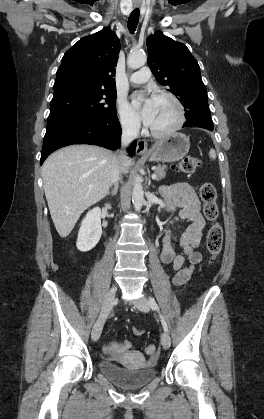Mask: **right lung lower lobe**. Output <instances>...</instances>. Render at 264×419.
Returning <instances> with one entry per match:
<instances>
[{"label":"right lung lower lobe","instance_id":"obj_1","mask_svg":"<svg viewBox=\"0 0 264 419\" xmlns=\"http://www.w3.org/2000/svg\"><path fill=\"white\" fill-rule=\"evenodd\" d=\"M121 126L114 117H75L63 120L46 130L40 164L55 150L71 144H93L111 150L120 147ZM136 141L128 148L132 156Z\"/></svg>","mask_w":264,"mask_h":419}]
</instances>
